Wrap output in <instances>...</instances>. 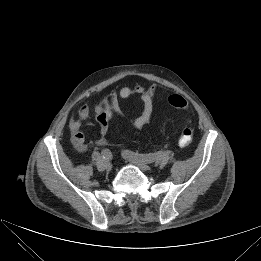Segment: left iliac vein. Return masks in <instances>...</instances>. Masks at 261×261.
I'll list each match as a JSON object with an SVG mask.
<instances>
[{
  "mask_svg": "<svg viewBox=\"0 0 261 261\" xmlns=\"http://www.w3.org/2000/svg\"><path fill=\"white\" fill-rule=\"evenodd\" d=\"M123 157L129 161L130 163L138 166L139 168H141L142 170H149L150 169V166L148 165L147 162L141 160V159H138V158H132L130 157L129 155H127L125 152L123 153Z\"/></svg>",
  "mask_w": 261,
  "mask_h": 261,
  "instance_id": "1",
  "label": "left iliac vein"
}]
</instances>
